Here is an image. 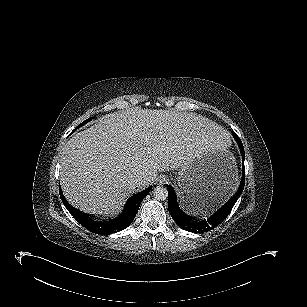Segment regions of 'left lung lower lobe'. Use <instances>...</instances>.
I'll list each match as a JSON object with an SVG mask.
<instances>
[{
	"label": "left lung lower lobe",
	"instance_id": "0a47b994",
	"mask_svg": "<svg viewBox=\"0 0 307 307\" xmlns=\"http://www.w3.org/2000/svg\"><path fill=\"white\" fill-rule=\"evenodd\" d=\"M233 136L235 137L234 134ZM238 146L241 150L242 159H243V167H244L245 153H244L242 142H238ZM244 179L245 178H244V168H243V177H242L240 186L237 192L235 193V195L225 205H223V207H221L216 213H214L211 217L203 221H198L192 216H189L183 213L177 204V198H176L174 189L171 186H167L168 197H169V200H168L169 213L171 217L173 218V220L176 222V224L180 228L186 231L194 232V233L208 232L214 229L215 227H217L229 215L234 204L236 203V201L238 200L239 196L241 195L243 191L244 184H245Z\"/></svg>",
	"mask_w": 307,
	"mask_h": 307
}]
</instances>
